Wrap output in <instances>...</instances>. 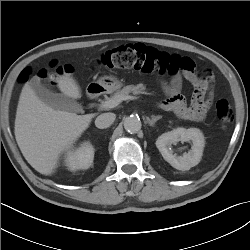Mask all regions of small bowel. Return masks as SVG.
I'll return each mask as SVG.
<instances>
[{
    "label": "small bowel",
    "instance_id": "1",
    "mask_svg": "<svg viewBox=\"0 0 250 250\" xmlns=\"http://www.w3.org/2000/svg\"><path fill=\"white\" fill-rule=\"evenodd\" d=\"M185 78L195 85L199 79V74L195 67L191 72L185 74ZM161 87L167 98L160 104V107L167 111H172L183 120L202 122L206 118L209 100L192 102L187 105L185 99L180 94L182 87V77L174 76L169 82L161 81Z\"/></svg>",
    "mask_w": 250,
    "mask_h": 250
}]
</instances>
